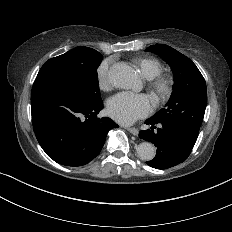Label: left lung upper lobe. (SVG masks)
I'll return each mask as SVG.
<instances>
[{"mask_svg": "<svg viewBox=\"0 0 232 232\" xmlns=\"http://www.w3.org/2000/svg\"><path fill=\"white\" fill-rule=\"evenodd\" d=\"M145 51L158 54L172 68L175 84L165 108L150 119L176 123L198 135L207 105L206 82L197 66L185 55L164 44Z\"/></svg>", "mask_w": 232, "mask_h": 232, "instance_id": "left-lung-upper-lobe-1", "label": "left lung upper lobe"}]
</instances>
